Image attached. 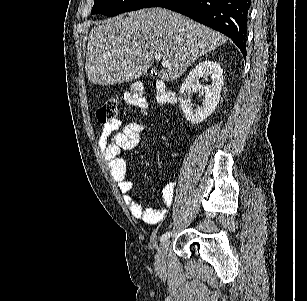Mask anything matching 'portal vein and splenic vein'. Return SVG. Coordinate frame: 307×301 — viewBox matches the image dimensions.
<instances>
[{"label":"portal vein and splenic vein","mask_w":307,"mask_h":301,"mask_svg":"<svg viewBox=\"0 0 307 301\" xmlns=\"http://www.w3.org/2000/svg\"><path fill=\"white\" fill-rule=\"evenodd\" d=\"M156 60H161L162 56L161 54H155ZM163 66H169V62H165V60H162Z\"/></svg>","instance_id":"18ae733b"}]
</instances>
